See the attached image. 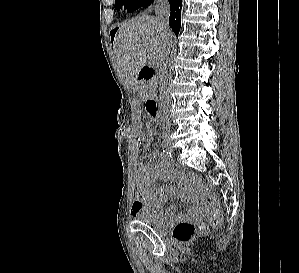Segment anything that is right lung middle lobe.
Here are the masks:
<instances>
[{
    "mask_svg": "<svg viewBox=\"0 0 299 273\" xmlns=\"http://www.w3.org/2000/svg\"><path fill=\"white\" fill-rule=\"evenodd\" d=\"M137 0H115V9H129Z\"/></svg>",
    "mask_w": 299,
    "mask_h": 273,
    "instance_id": "1",
    "label": "right lung middle lobe"
}]
</instances>
